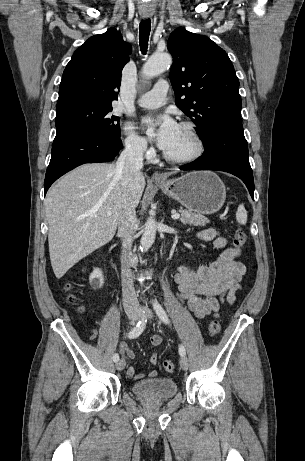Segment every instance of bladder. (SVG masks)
Masks as SVG:
<instances>
[{
    "instance_id": "bladder-1",
    "label": "bladder",
    "mask_w": 305,
    "mask_h": 461,
    "mask_svg": "<svg viewBox=\"0 0 305 461\" xmlns=\"http://www.w3.org/2000/svg\"><path fill=\"white\" fill-rule=\"evenodd\" d=\"M131 389L139 397L156 401L168 400L178 393L176 382L167 377L144 379L135 382Z\"/></svg>"
}]
</instances>
